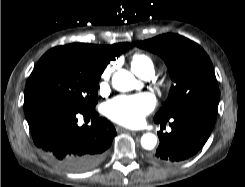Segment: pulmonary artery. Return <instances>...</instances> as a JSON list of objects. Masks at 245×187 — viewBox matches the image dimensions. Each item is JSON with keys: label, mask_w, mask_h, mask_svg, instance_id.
I'll use <instances>...</instances> for the list:
<instances>
[{"label": "pulmonary artery", "mask_w": 245, "mask_h": 187, "mask_svg": "<svg viewBox=\"0 0 245 187\" xmlns=\"http://www.w3.org/2000/svg\"><path fill=\"white\" fill-rule=\"evenodd\" d=\"M153 75V70H148L147 72L144 73V75L142 76L143 78H151Z\"/></svg>", "instance_id": "obj_1"}]
</instances>
